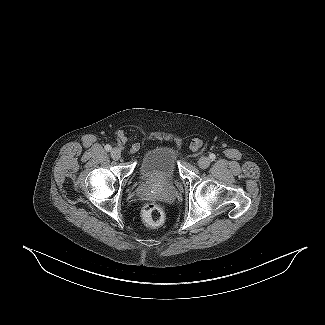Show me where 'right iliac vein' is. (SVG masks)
<instances>
[{
	"instance_id": "right-iliac-vein-1",
	"label": "right iliac vein",
	"mask_w": 325,
	"mask_h": 325,
	"mask_svg": "<svg viewBox=\"0 0 325 325\" xmlns=\"http://www.w3.org/2000/svg\"><path fill=\"white\" fill-rule=\"evenodd\" d=\"M111 157L114 160H118L121 158V150L119 148H114L111 150Z\"/></svg>"
}]
</instances>
